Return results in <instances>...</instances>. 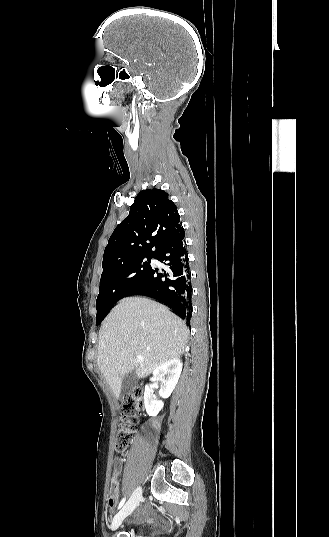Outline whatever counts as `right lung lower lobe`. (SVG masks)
Wrapping results in <instances>:
<instances>
[{
    "label": "right lung lower lobe",
    "mask_w": 329,
    "mask_h": 537,
    "mask_svg": "<svg viewBox=\"0 0 329 537\" xmlns=\"http://www.w3.org/2000/svg\"><path fill=\"white\" fill-rule=\"evenodd\" d=\"M184 236L183 230L152 256L165 268L150 265L126 296H149L171 307L182 319L191 317L192 285Z\"/></svg>",
    "instance_id": "1"
}]
</instances>
